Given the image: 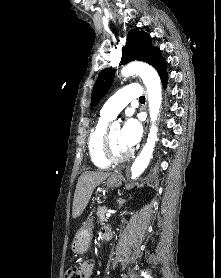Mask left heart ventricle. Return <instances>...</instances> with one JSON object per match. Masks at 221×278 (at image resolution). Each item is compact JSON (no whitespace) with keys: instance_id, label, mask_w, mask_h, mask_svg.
<instances>
[{"instance_id":"b2bd125f","label":"left heart ventricle","mask_w":221,"mask_h":278,"mask_svg":"<svg viewBox=\"0 0 221 278\" xmlns=\"http://www.w3.org/2000/svg\"><path fill=\"white\" fill-rule=\"evenodd\" d=\"M120 132L119 128H112L110 130L111 148L116 156H122L129 151V148L121 141Z\"/></svg>"}]
</instances>
